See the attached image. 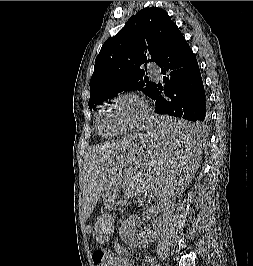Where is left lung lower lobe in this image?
<instances>
[{
    "label": "left lung lower lobe",
    "instance_id": "left-lung-lower-lobe-1",
    "mask_svg": "<svg viewBox=\"0 0 253 266\" xmlns=\"http://www.w3.org/2000/svg\"><path fill=\"white\" fill-rule=\"evenodd\" d=\"M163 83L155 84V113L180 118L170 126H154V132L172 141H194L209 123L205 90L198 62L176 26L156 63Z\"/></svg>",
    "mask_w": 253,
    "mask_h": 266
}]
</instances>
